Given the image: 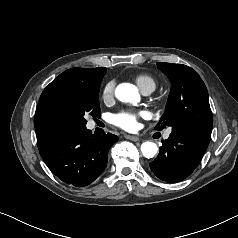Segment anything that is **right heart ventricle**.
<instances>
[{"instance_id": "e07e8e85", "label": "right heart ventricle", "mask_w": 238, "mask_h": 238, "mask_svg": "<svg viewBox=\"0 0 238 238\" xmlns=\"http://www.w3.org/2000/svg\"><path fill=\"white\" fill-rule=\"evenodd\" d=\"M134 80L142 92L147 90L152 92L157 85L155 78L147 73H139L135 75Z\"/></svg>"}]
</instances>
